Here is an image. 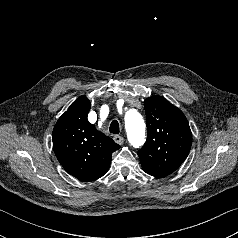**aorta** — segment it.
I'll use <instances>...</instances> for the list:
<instances>
[{
    "label": "aorta",
    "instance_id": "1",
    "mask_svg": "<svg viewBox=\"0 0 238 238\" xmlns=\"http://www.w3.org/2000/svg\"><path fill=\"white\" fill-rule=\"evenodd\" d=\"M125 127L129 142L134 147L141 146L145 138V123L136 110L129 109L125 113Z\"/></svg>",
    "mask_w": 238,
    "mask_h": 238
}]
</instances>
